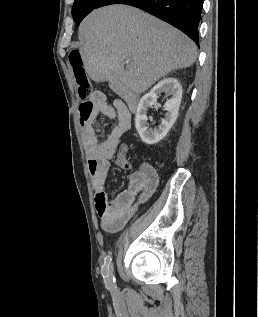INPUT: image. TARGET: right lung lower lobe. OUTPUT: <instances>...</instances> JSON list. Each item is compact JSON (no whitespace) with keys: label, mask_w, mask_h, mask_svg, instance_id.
Returning a JSON list of instances; mask_svg holds the SVG:
<instances>
[{"label":"right lung lower lobe","mask_w":258,"mask_h":317,"mask_svg":"<svg viewBox=\"0 0 258 317\" xmlns=\"http://www.w3.org/2000/svg\"><path fill=\"white\" fill-rule=\"evenodd\" d=\"M110 4L140 8L180 29L199 47L198 25L203 0H87L75 19L76 24L94 9Z\"/></svg>","instance_id":"right-lung-lower-lobe-1"}]
</instances>
